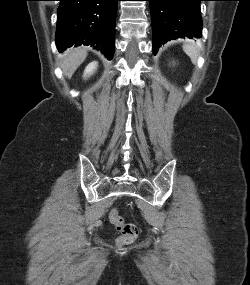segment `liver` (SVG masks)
Instances as JSON below:
<instances>
[{
    "label": "liver",
    "mask_w": 250,
    "mask_h": 285,
    "mask_svg": "<svg viewBox=\"0 0 250 285\" xmlns=\"http://www.w3.org/2000/svg\"><path fill=\"white\" fill-rule=\"evenodd\" d=\"M87 57V49L84 47H78L75 49H68L63 56L61 62V68L63 73L71 78L76 69L83 63Z\"/></svg>",
    "instance_id": "liver-1"
}]
</instances>
